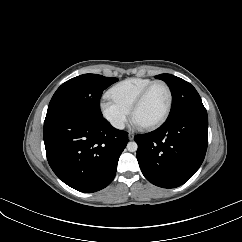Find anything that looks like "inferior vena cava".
<instances>
[{
	"label": "inferior vena cava",
	"instance_id": "obj_1",
	"mask_svg": "<svg viewBox=\"0 0 242 242\" xmlns=\"http://www.w3.org/2000/svg\"><path fill=\"white\" fill-rule=\"evenodd\" d=\"M113 126L117 129H124L125 128V124L122 121H118V122L113 123Z\"/></svg>",
	"mask_w": 242,
	"mask_h": 242
}]
</instances>
